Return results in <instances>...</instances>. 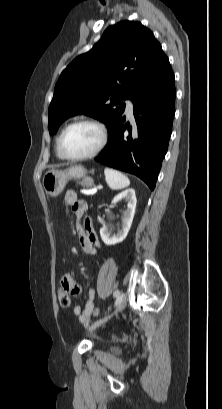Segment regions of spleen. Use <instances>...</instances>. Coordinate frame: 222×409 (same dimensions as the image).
Instances as JSON below:
<instances>
[{"label": "spleen", "instance_id": "spleen-1", "mask_svg": "<svg viewBox=\"0 0 222 409\" xmlns=\"http://www.w3.org/2000/svg\"><path fill=\"white\" fill-rule=\"evenodd\" d=\"M104 174L105 180L112 190H120L130 185L128 177L117 170L105 168Z\"/></svg>", "mask_w": 222, "mask_h": 409}]
</instances>
